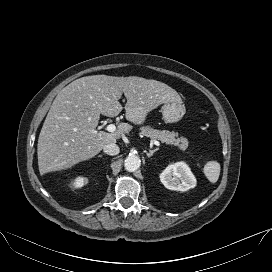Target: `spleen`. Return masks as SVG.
Returning a JSON list of instances; mask_svg holds the SVG:
<instances>
[{"instance_id": "obj_1", "label": "spleen", "mask_w": 272, "mask_h": 272, "mask_svg": "<svg viewBox=\"0 0 272 272\" xmlns=\"http://www.w3.org/2000/svg\"><path fill=\"white\" fill-rule=\"evenodd\" d=\"M203 172L211 183H216L220 175V164L217 161H208Z\"/></svg>"}]
</instances>
